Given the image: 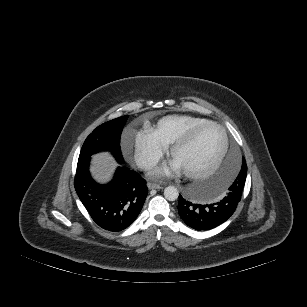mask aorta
I'll return each mask as SVG.
<instances>
[{
  "label": "aorta",
  "instance_id": "obj_1",
  "mask_svg": "<svg viewBox=\"0 0 307 307\" xmlns=\"http://www.w3.org/2000/svg\"><path fill=\"white\" fill-rule=\"evenodd\" d=\"M179 191L175 186H168L164 190V197L168 201H175L178 199Z\"/></svg>",
  "mask_w": 307,
  "mask_h": 307
}]
</instances>
